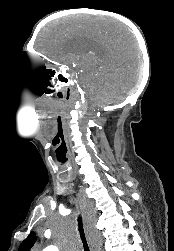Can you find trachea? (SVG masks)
I'll return each mask as SVG.
<instances>
[{"mask_svg":"<svg viewBox=\"0 0 174 251\" xmlns=\"http://www.w3.org/2000/svg\"><path fill=\"white\" fill-rule=\"evenodd\" d=\"M78 223H79V232H80V236H81V239H82V242H83L84 250L89 251V247H88V244H87V241H86V238H85L81 218H78Z\"/></svg>","mask_w":174,"mask_h":251,"instance_id":"3493384b","label":"trachea"}]
</instances>
